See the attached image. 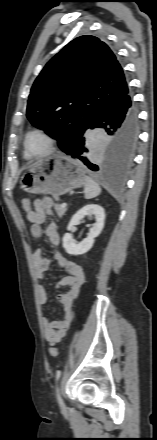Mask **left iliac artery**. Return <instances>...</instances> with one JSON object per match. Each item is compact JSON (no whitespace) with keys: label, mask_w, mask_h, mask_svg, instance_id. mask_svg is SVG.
<instances>
[{"label":"left iliac artery","mask_w":157,"mask_h":440,"mask_svg":"<svg viewBox=\"0 0 157 440\" xmlns=\"http://www.w3.org/2000/svg\"><path fill=\"white\" fill-rule=\"evenodd\" d=\"M60 376H61V370H57V372H56V381L59 380Z\"/></svg>","instance_id":"obj_1"}]
</instances>
